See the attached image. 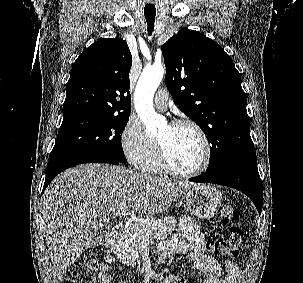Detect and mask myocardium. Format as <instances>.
Returning <instances> with one entry per match:
<instances>
[{"instance_id":"f54148a6","label":"myocardium","mask_w":303,"mask_h":283,"mask_svg":"<svg viewBox=\"0 0 303 283\" xmlns=\"http://www.w3.org/2000/svg\"><path fill=\"white\" fill-rule=\"evenodd\" d=\"M173 127L189 126L196 131L199 135L202 146H203V159L201 164L192 171H180L176 169L169 161L165 149L161 143L156 140V152L160 168L175 177L179 178H194L202 174L209 166L211 161V144L209 138L202 127L193 120L190 119H179L170 124Z\"/></svg>"}]
</instances>
